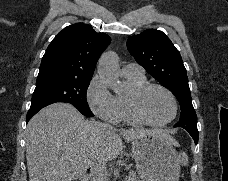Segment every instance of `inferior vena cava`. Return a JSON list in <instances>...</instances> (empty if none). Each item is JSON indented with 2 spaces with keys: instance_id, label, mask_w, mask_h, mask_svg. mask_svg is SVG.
I'll return each mask as SVG.
<instances>
[{
  "instance_id": "inferior-vena-cava-1",
  "label": "inferior vena cava",
  "mask_w": 228,
  "mask_h": 181,
  "mask_svg": "<svg viewBox=\"0 0 228 181\" xmlns=\"http://www.w3.org/2000/svg\"><path fill=\"white\" fill-rule=\"evenodd\" d=\"M107 129H112L111 125H105ZM90 179L92 181H108L106 161H101L99 157H93L90 161Z\"/></svg>"
}]
</instances>
